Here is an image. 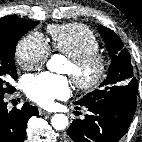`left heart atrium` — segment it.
Instances as JSON below:
<instances>
[{"label":"left heart atrium","mask_w":142,"mask_h":142,"mask_svg":"<svg viewBox=\"0 0 142 142\" xmlns=\"http://www.w3.org/2000/svg\"><path fill=\"white\" fill-rule=\"evenodd\" d=\"M26 95L41 106H49L56 99L70 95V83L67 77L51 73L29 76L24 85Z\"/></svg>","instance_id":"left-heart-atrium-1"}]
</instances>
